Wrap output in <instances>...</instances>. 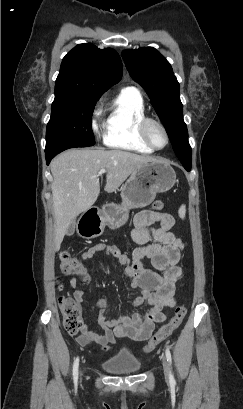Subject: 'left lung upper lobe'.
I'll return each instance as SVG.
<instances>
[{"mask_svg": "<svg viewBox=\"0 0 243 409\" xmlns=\"http://www.w3.org/2000/svg\"><path fill=\"white\" fill-rule=\"evenodd\" d=\"M122 58L131 77L148 94L183 165L191 166V147L183 120L179 83L170 63L152 47L125 50Z\"/></svg>", "mask_w": 243, "mask_h": 409, "instance_id": "5c2ea615", "label": "left lung upper lobe"}]
</instances>
